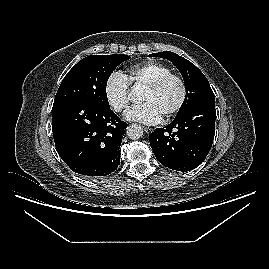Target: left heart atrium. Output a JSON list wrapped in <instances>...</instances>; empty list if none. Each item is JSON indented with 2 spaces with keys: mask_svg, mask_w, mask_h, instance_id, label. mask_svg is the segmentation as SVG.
<instances>
[{
  "mask_svg": "<svg viewBox=\"0 0 269 269\" xmlns=\"http://www.w3.org/2000/svg\"><path fill=\"white\" fill-rule=\"evenodd\" d=\"M126 119L144 124H156L161 120V115L150 102L132 106L125 114Z\"/></svg>",
  "mask_w": 269,
  "mask_h": 269,
  "instance_id": "obj_1",
  "label": "left heart atrium"
}]
</instances>
